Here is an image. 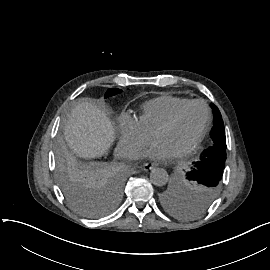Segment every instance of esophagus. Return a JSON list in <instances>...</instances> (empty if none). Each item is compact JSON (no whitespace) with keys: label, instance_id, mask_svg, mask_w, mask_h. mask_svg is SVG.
Returning a JSON list of instances; mask_svg holds the SVG:
<instances>
[{"label":"esophagus","instance_id":"esophagus-1","mask_svg":"<svg viewBox=\"0 0 270 270\" xmlns=\"http://www.w3.org/2000/svg\"><path fill=\"white\" fill-rule=\"evenodd\" d=\"M141 168L144 171H149L154 168V164L151 162H147V163H144Z\"/></svg>","mask_w":270,"mask_h":270}]
</instances>
